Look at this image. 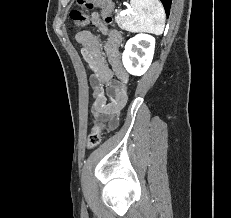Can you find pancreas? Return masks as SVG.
I'll use <instances>...</instances> for the list:
<instances>
[{
    "instance_id": "cf45deb5",
    "label": "pancreas",
    "mask_w": 231,
    "mask_h": 218,
    "mask_svg": "<svg viewBox=\"0 0 231 218\" xmlns=\"http://www.w3.org/2000/svg\"><path fill=\"white\" fill-rule=\"evenodd\" d=\"M116 22L119 25V27H123V18L121 17H116Z\"/></svg>"
}]
</instances>
